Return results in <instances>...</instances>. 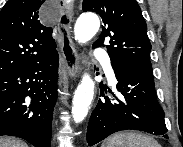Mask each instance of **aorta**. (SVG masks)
<instances>
[{
	"mask_svg": "<svg viewBox=\"0 0 183 147\" xmlns=\"http://www.w3.org/2000/svg\"><path fill=\"white\" fill-rule=\"evenodd\" d=\"M100 20L92 13L82 14L74 28L75 39L86 43L99 30ZM94 95V82L88 74H84L73 97L72 116L75 123L82 122L88 114Z\"/></svg>",
	"mask_w": 183,
	"mask_h": 147,
	"instance_id": "762f6f07",
	"label": "aorta"
}]
</instances>
